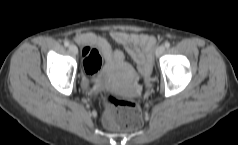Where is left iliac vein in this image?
Wrapping results in <instances>:
<instances>
[{"label":"left iliac vein","instance_id":"obj_1","mask_svg":"<svg viewBox=\"0 0 238 145\" xmlns=\"http://www.w3.org/2000/svg\"><path fill=\"white\" fill-rule=\"evenodd\" d=\"M165 51V46L164 45H160L158 46V48L155 51V55L156 57H159L160 55H162Z\"/></svg>","mask_w":238,"mask_h":145}]
</instances>
